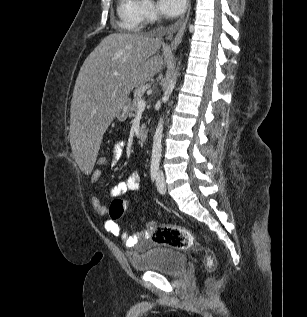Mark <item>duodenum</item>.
Masks as SVG:
<instances>
[{
    "label": "duodenum",
    "instance_id": "1",
    "mask_svg": "<svg viewBox=\"0 0 307 317\" xmlns=\"http://www.w3.org/2000/svg\"><path fill=\"white\" fill-rule=\"evenodd\" d=\"M146 138H147L146 133L142 132L138 135V140L141 144H144L146 142Z\"/></svg>",
    "mask_w": 307,
    "mask_h": 317
}]
</instances>
